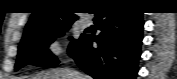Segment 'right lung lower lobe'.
I'll list each match as a JSON object with an SVG mask.
<instances>
[{
    "label": "right lung lower lobe",
    "instance_id": "98d812e1",
    "mask_svg": "<svg viewBox=\"0 0 177 79\" xmlns=\"http://www.w3.org/2000/svg\"><path fill=\"white\" fill-rule=\"evenodd\" d=\"M95 14L101 34H83L69 55L95 79H135L141 55L142 13L119 11L113 5ZM92 42L98 47H92Z\"/></svg>",
    "mask_w": 177,
    "mask_h": 79
}]
</instances>
